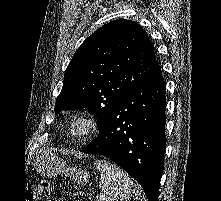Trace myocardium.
Segmentation results:
<instances>
[{"instance_id":"myocardium-1","label":"myocardium","mask_w":221,"mask_h":201,"mask_svg":"<svg viewBox=\"0 0 221 201\" xmlns=\"http://www.w3.org/2000/svg\"><path fill=\"white\" fill-rule=\"evenodd\" d=\"M80 126L81 131L77 132L76 127ZM97 129L95 117L85 111L75 113L69 121V135L76 140H85L90 138Z\"/></svg>"}]
</instances>
